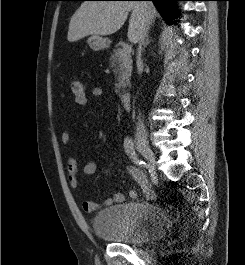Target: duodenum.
<instances>
[{
  "mask_svg": "<svg viewBox=\"0 0 245 265\" xmlns=\"http://www.w3.org/2000/svg\"><path fill=\"white\" fill-rule=\"evenodd\" d=\"M122 103H123V106H124L126 109H130V108H131L132 95H131L130 92L124 91V92L122 93Z\"/></svg>",
  "mask_w": 245,
  "mask_h": 265,
  "instance_id": "410a0bca",
  "label": "duodenum"
}]
</instances>
